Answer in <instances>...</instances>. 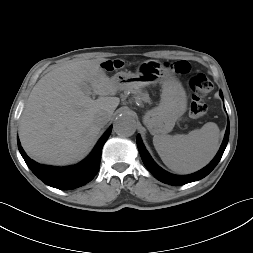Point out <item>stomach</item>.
Listing matches in <instances>:
<instances>
[{"label":"stomach","mask_w":253,"mask_h":253,"mask_svg":"<svg viewBox=\"0 0 253 253\" xmlns=\"http://www.w3.org/2000/svg\"><path fill=\"white\" fill-rule=\"evenodd\" d=\"M111 81L119 90H138L149 85H162L159 106L147 111L143 122L151 134H166L170 132L175 122L186 111V92L175 77L173 71L156 60L142 62L135 73L118 72Z\"/></svg>","instance_id":"1"}]
</instances>
